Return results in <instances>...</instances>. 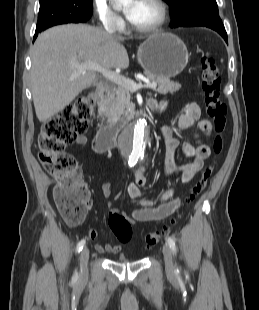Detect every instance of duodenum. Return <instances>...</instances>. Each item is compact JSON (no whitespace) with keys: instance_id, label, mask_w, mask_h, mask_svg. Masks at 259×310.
<instances>
[{"instance_id":"duodenum-1","label":"duodenum","mask_w":259,"mask_h":310,"mask_svg":"<svg viewBox=\"0 0 259 310\" xmlns=\"http://www.w3.org/2000/svg\"><path fill=\"white\" fill-rule=\"evenodd\" d=\"M111 91L110 85H103L99 87L96 91V103L99 108L100 120L103 119V106L105 101L108 99ZM152 110H156L153 104H150ZM139 109H133L129 112L127 120L134 119L139 115ZM121 130V125L119 123H110L106 126L99 127L95 136V148L98 151H106L112 148L116 143V138Z\"/></svg>"}]
</instances>
